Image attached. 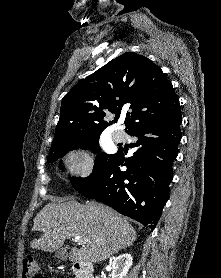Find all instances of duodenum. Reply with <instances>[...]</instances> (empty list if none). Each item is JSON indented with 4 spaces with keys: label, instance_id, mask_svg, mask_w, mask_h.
Returning <instances> with one entry per match:
<instances>
[{
    "label": "duodenum",
    "instance_id": "1",
    "mask_svg": "<svg viewBox=\"0 0 221 278\" xmlns=\"http://www.w3.org/2000/svg\"><path fill=\"white\" fill-rule=\"evenodd\" d=\"M72 269L76 278H93L92 265L88 262L77 261Z\"/></svg>",
    "mask_w": 221,
    "mask_h": 278
}]
</instances>
